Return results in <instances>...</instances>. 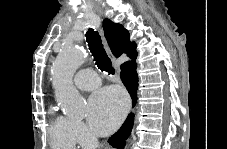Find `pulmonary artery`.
Returning <instances> with one entry per match:
<instances>
[{
	"instance_id": "e3ab8cb5",
	"label": "pulmonary artery",
	"mask_w": 227,
	"mask_h": 149,
	"mask_svg": "<svg viewBox=\"0 0 227 149\" xmlns=\"http://www.w3.org/2000/svg\"><path fill=\"white\" fill-rule=\"evenodd\" d=\"M74 84L80 90L90 91L100 85V79L94 70L83 69L75 74Z\"/></svg>"
}]
</instances>
